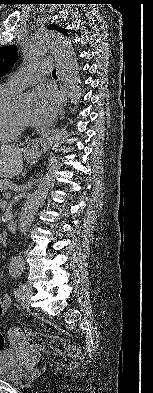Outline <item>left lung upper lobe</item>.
Segmentation results:
<instances>
[{
  "instance_id": "left-lung-upper-lobe-1",
  "label": "left lung upper lobe",
  "mask_w": 153,
  "mask_h": 393,
  "mask_svg": "<svg viewBox=\"0 0 153 393\" xmlns=\"http://www.w3.org/2000/svg\"><path fill=\"white\" fill-rule=\"evenodd\" d=\"M48 29L56 30L64 35H67V30L56 24H50ZM16 60L17 50L15 46H5L0 49V77L12 69Z\"/></svg>"
}]
</instances>
